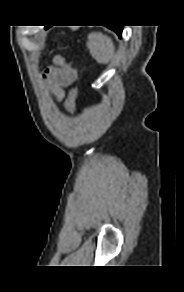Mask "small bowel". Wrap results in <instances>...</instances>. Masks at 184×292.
Segmentation results:
<instances>
[{"label": "small bowel", "mask_w": 184, "mask_h": 292, "mask_svg": "<svg viewBox=\"0 0 184 292\" xmlns=\"http://www.w3.org/2000/svg\"><path fill=\"white\" fill-rule=\"evenodd\" d=\"M76 77V71L61 56H56L54 66L45 71V78L58 100L63 97V88L70 85Z\"/></svg>", "instance_id": "1"}]
</instances>
